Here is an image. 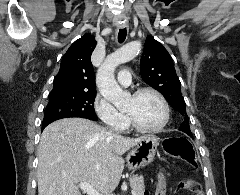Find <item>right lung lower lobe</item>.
I'll use <instances>...</instances> for the list:
<instances>
[{"label":"right lung lower lobe","instance_id":"98d812e1","mask_svg":"<svg viewBox=\"0 0 240 195\" xmlns=\"http://www.w3.org/2000/svg\"><path fill=\"white\" fill-rule=\"evenodd\" d=\"M93 121H96V120H93ZM46 126H47V125H46ZM46 126H42V130H43Z\"/></svg>","mask_w":240,"mask_h":195}]
</instances>
